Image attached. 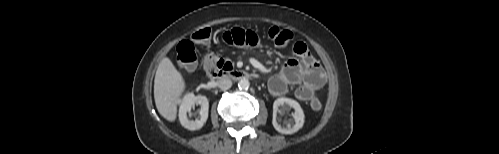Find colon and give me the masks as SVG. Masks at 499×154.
Returning <instances> with one entry per match:
<instances>
[{"label": "colon", "mask_w": 499, "mask_h": 154, "mask_svg": "<svg viewBox=\"0 0 499 154\" xmlns=\"http://www.w3.org/2000/svg\"><path fill=\"white\" fill-rule=\"evenodd\" d=\"M269 39L279 47H286L292 40V33L279 27H270L267 31ZM211 37V30L204 28L196 32L190 40H184L177 46L176 63L180 69H192L196 66L197 56L194 43L207 41ZM206 65L216 69H226V63L221 60L209 59ZM310 107L319 111L322 108V102L319 98L313 97L310 100Z\"/></svg>", "instance_id": "5ec220e1"}]
</instances>
